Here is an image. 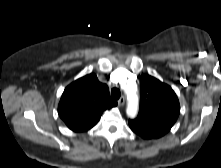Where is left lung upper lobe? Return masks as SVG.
<instances>
[{"mask_svg":"<svg viewBox=\"0 0 221 168\" xmlns=\"http://www.w3.org/2000/svg\"><path fill=\"white\" fill-rule=\"evenodd\" d=\"M180 104L170 86L150 75L140 77V110L129 120L133 132L145 139L165 135L176 122Z\"/></svg>","mask_w":221,"mask_h":168,"instance_id":"obj_1","label":"left lung upper lobe"}]
</instances>
